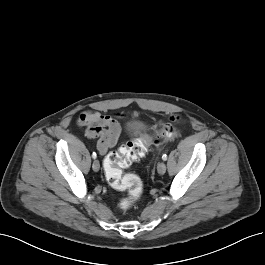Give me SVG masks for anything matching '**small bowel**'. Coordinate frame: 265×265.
<instances>
[{
    "label": "small bowel",
    "mask_w": 265,
    "mask_h": 265,
    "mask_svg": "<svg viewBox=\"0 0 265 265\" xmlns=\"http://www.w3.org/2000/svg\"><path fill=\"white\" fill-rule=\"evenodd\" d=\"M122 117L120 113L84 111L79 115L76 123L84 127L87 137L98 138L97 150L100 154H105L115 147L119 140L121 134L119 119Z\"/></svg>",
    "instance_id": "c3829d8e"
}]
</instances>
